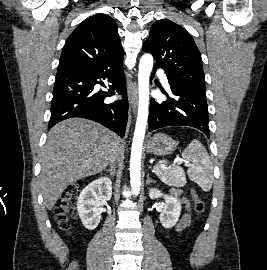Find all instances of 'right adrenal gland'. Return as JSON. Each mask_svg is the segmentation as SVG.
<instances>
[{"label":"right adrenal gland","instance_id":"2a0ac1e0","mask_svg":"<svg viewBox=\"0 0 267 270\" xmlns=\"http://www.w3.org/2000/svg\"><path fill=\"white\" fill-rule=\"evenodd\" d=\"M106 172H109L110 175H114L115 174V167H111L110 169H105Z\"/></svg>","mask_w":267,"mask_h":270}]
</instances>
